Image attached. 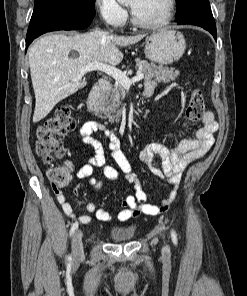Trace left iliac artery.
Instances as JSON below:
<instances>
[{
  "mask_svg": "<svg viewBox=\"0 0 247 296\" xmlns=\"http://www.w3.org/2000/svg\"><path fill=\"white\" fill-rule=\"evenodd\" d=\"M172 240L176 244L177 243V234L174 230L171 232Z\"/></svg>",
  "mask_w": 247,
  "mask_h": 296,
  "instance_id": "obj_1",
  "label": "left iliac artery"
}]
</instances>
